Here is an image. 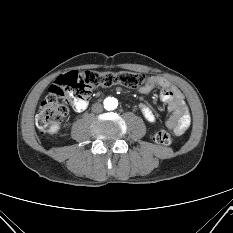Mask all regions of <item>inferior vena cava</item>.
I'll list each match as a JSON object with an SVG mask.
<instances>
[{
    "label": "inferior vena cava",
    "mask_w": 233,
    "mask_h": 233,
    "mask_svg": "<svg viewBox=\"0 0 233 233\" xmlns=\"http://www.w3.org/2000/svg\"><path fill=\"white\" fill-rule=\"evenodd\" d=\"M92 111H93L94 113H101V112L103 111V106H102V104H100V103H95V104H93V106H92Z\"/></svg>",
    "instance_id": "1"
}]
</instances>
